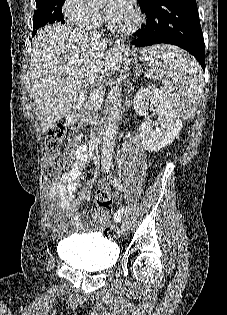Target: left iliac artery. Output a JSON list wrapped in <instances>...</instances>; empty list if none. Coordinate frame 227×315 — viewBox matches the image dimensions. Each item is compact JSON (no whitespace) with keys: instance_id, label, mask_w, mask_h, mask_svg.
I'll list each match as a JSON object with an SVG mask.
<instances>
[{"instance_id":"left-iliac-artery-1","label":"left iliac artery","mask_w":227,"mask_h":315,"mask_svg":"<svg viewBox=\"0 0 227 315\" xmlns=\"http://www.w3.org/2000/svg\"><path fill=\"white\" fill-rule=\"evenodd\" d=\"M130 214H131V208L128 206L124 212V221L128 220Z\"/></svg>"}]
</instances>
